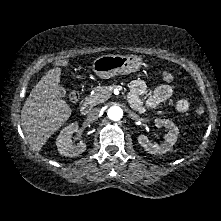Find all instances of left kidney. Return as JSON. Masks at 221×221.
Listing matches in <instances>:
<instances>
[{
    "label": "left kidney",
    "instance_id": "1",
    "mask_svg": "<svg viewBox=\"0 0 221 221\" xmlns=\"http://www.w3.org/2000/svg\"><path fill=\"white\" fill-rule=\"evenodd\" d=\"M155 126L156 127H162L164 126L167 128L169 131L165 136V143L158 145V144H152L149 142L147 136L145 135H139L137 140L138 143L147 151L148 153L151 154H163L169 151L172 146L176 143L178 134H179V129L178 127L169 119H160L157 118L155 119Z\"/></svg>",
    "mask_w": 221,
    "mask_h": 221
}]
</instances>
